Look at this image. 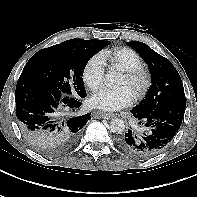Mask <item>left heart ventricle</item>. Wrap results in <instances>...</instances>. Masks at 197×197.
<instances>
[{
	"mask_svg": "<svg viewBox=\"0 0 197 197\" xmlns=\"http://www.w3.org/2000/svg\"><path fill=\"white\" fill-rule=\"evenodd\" d=\"M121 86L128 87V88L134 93V88H133V86H131V85L128 83V81H127V79H126L125 76H123V78H122Z\"/></svg>",
	"mask_w": 197,
	"mask_h": 197,
	"instance_id": "obj_1",
	"label": "left heart ventricle"
}]
</instances>
